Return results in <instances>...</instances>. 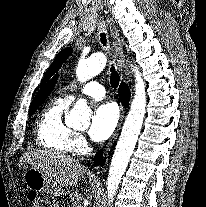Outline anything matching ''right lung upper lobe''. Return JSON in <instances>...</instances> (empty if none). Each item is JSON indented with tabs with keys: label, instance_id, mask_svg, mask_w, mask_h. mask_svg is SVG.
<instances>
[{
	"label": "right lung upper lobe",
	"instance_id": "right-lung-upper-lobe-1",
	"mask_svg": "<svg viewBox=\"0 0 206 207\" xmlns=\"http://www.w3.org/2000/svg\"><path fill=\"white\" fill-rule=\"evenodd\" d=\"M57 76L58 75H56L43 89L38 92L30 106V109L39 107L46 100L55 86Z\"/></svg>",
	"mask_w": 206,
	"mask_h": 207
}]
</instances>
